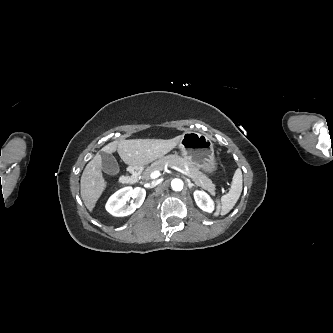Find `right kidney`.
<instances>
[{"label":"right kidney","instance_id":"ca27d5eb","mask_svg":"<svg viewBox=\"0 0 333 333\" xmlns=\"http://www.w3.org/2000/svg\"><path fill=\"white\" fill-rule=\"evenodd\" d=\"M146 196L145 189L141 187H124L115 192L106 203V210L116 217H124L132 214L144 202ZM133 198L129 206H125L126 201Z\"/></svg>","mask_w":333,"mask_h":333}]
</instances>
